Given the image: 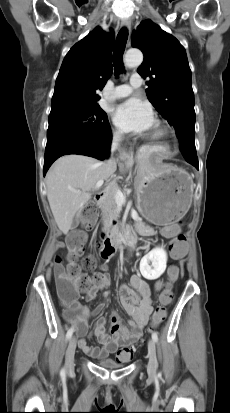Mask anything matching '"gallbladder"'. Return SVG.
Here are the masks:
<instances>
[{
    "instance_id": "bac80fb5",
    "label": "gallbladder",
    "mask_w": 230,
    "mask_h": 413,
    "mask_svg": "<svg viewBox=\"0 0 230 413\" xmlns=\"http://www.w3.org/2000/svg\"><path fill=\"white\" fill-rule=\"evenodd\" d=\"M78 222H79V219L76 217V218L73 220V226H76V225L78 224Z\"/></svg>"
}]
</instances>
